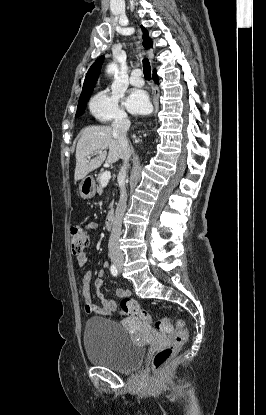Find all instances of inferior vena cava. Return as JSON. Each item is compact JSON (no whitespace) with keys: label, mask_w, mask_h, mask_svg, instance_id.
<instances>
[{"label":"inferior vena cava","mask_w":266,"mask_h":415,"mask_svg":"<svg viewBox=\"0 0 266 415\" xmlns=\"http://www.w3.org/2000/svg\"><path fill=\"white\" fill-rule=\"evenodd\" d=\"M130 127V121L127 119L126 115H121L115 118L112 123L113 135L117 137L122 149H123V166L120 169L118 178L122 179V184L120 185V199L117 204L115 211V217L113 221L112 231L109 238L108 249L110 258L123 257V253L120 249V235L122 227V219L124 212L126 210V201H127V192L125 187V178L127 176L128 161L131 156V149L128 144V139L126 137L127 131Z\"/></svg>","instance_id":"602c4592"}]
</instances>
